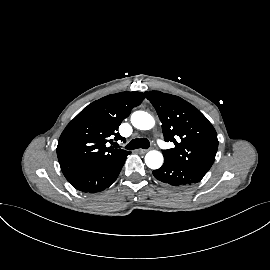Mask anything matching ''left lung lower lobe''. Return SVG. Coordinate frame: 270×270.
<instances>
[{
  "label": "left lung lower lobe",
  "mask_w": 270,
  "mask_h": 270,
  "mask_svg": "<svg viewBox=\"0 0 270 270\" xmlns=\"http://www.w3.org/2000/svg\"><path fill=\"white\" fill-rule=\"evenodd\" d=\"M156 179L175 187H188L202 180L204 175L195 170L164 159V164L153 171Z\"/></svg>",
  "instance_id": "obj_1"
}]
</instances>
